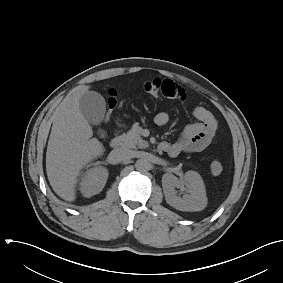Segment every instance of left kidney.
<instances>
[{
  "label": "left kidney",
  "mask_w": 283,
  "mask_h": 283,
  "mask_svg": "<svg viewBox=\"0 0 283 283\" xmlns=\"http://www.w3.org/2000/svg\"><path fill=\"white\" fill-rule=\"evenodd\" d=\"M162 186L167 203L178 210L201 211L207 205L204 182L195 171H187L182 179L166 173L162 177ZM175 188H180L184 195L177 196Z\"/></svg>",
  "instance_id": "1"
}]
</instances>
